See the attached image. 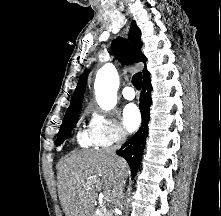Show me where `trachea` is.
I'll return each instance as SVG.
<instances>
[{
    "mask_svg": "<svg viewBox=\"0 0 221 216\" xmlns=\"http://www.w3.org/2000/svg\"><path fill=\"white\" fill-rule=\"evenodd\" d=\"M132 84L135 86V88H136L137 90H140V89H141L142 74H141L140 72L134 74V76H133V78H132Z\"/></svg>",
    "mask_w": 221,
    "mask_h": 216,
    "instance_id": "trachea-1",
    "label": "trachea"
}]
</instances>
